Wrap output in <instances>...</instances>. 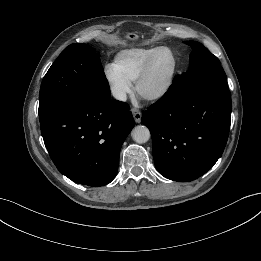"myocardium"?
Segmentation results:
<instances>
[{
    "instance_id": "f54148a6",
    "label": "myocardium",
    "mask_w": 261,
    "mask_h": 261,
    "mask_svg": "<svg viewBox=\"0 0 261 261\" xmlns=\"http://www.w3.org/2000/svg\"><path fill=\"white\" fill-rule=\"evenodd\" d=\"M162 51H168L173 58V66H172L171 72H170L167 80L164 82V84L162 86H160L159 88H157L153 91H145L144 84L149 77L153 62H154L155 58L157 57V55L159 53H161ZM177 71H178V59H177L175 52L171 48L166 47V46L158 47L154 51V53L150 56V58L144 65L143 69L141 70L140 74L138 75V77L135 81V90H136L137 94L141 98H143L147 101H159V100L163 99L170 92V90L174 84Z\"/></svg>"
}]
</instances>
